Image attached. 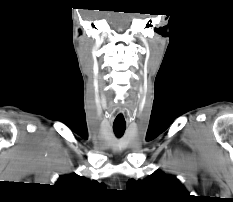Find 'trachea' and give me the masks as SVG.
<instances>
[{
  "mask_svg": "<svg viewBox=\"0 0 233 202\" xmlns=\"http://www.w3.org/2000/svg\"><path fill=\"white\" fill-rule=\"evenodd\" d=\"M126 130V125H113V131L117 137H121Z\"/></svg>",
  "mask_w": 233,
  "mask_h": 202,
  "instance_id": "3493384b",
  "label": "trachea"
}]
</instances>
